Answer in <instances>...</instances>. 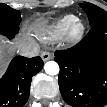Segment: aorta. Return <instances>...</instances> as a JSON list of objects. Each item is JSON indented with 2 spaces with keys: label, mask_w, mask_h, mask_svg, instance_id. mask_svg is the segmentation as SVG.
Instances as JSON below:
<instances>
[{
  "label": "aorta",
  "mask_w": 107,
  "mask_h": 107,
  "mask_svg": "<svg viewBox=\"0 0 107 107\" xmlns=\"http://www.w3.org/2000/svg\"><path fill=\"white\" fill-rule=\"evenodd\" d=\"M44 70L48 75H57L59 73V65L55 61H48L44 65Z\"/></svg>",
  "instance_id": "obj_1"
}]
</instances>
